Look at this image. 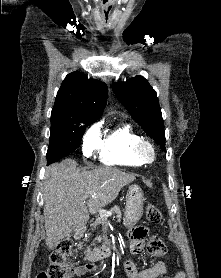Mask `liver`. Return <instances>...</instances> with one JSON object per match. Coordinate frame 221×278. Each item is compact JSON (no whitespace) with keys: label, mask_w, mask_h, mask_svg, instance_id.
Masks as SVG:
<instances>
[{"label":"liver","mask_w":221,"mask_h":278,"mask_svg":"<svg viewBox=\"0 0 221 278\" xmlns=\"http://www.w3.org/2000/svg\"><path fill=\"white\" fill-rule=\"evenodd\" d=\"M45 179L46 245L52 249L73 231L84 228L89 211L96 213L111 203L136 177L111 167L81 171L75 160L66 159L46 168Z\"/></svg>","instance_id":"6515ba94"}]
</instances>
